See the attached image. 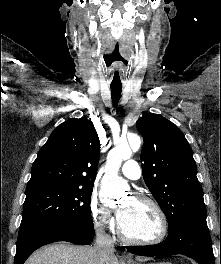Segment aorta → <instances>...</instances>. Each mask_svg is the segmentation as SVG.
Instances as JSON below:
<instances>
[{
	"instance_id": "obj_1",
	"label": "aorta",
	"mask_w": 221,
	"mask_h": 264,
	"mask_svg": "<svg viewBox=\"0 0 221 264\" xmlns=\"http://www.w3.org/2000/svg\"><path fill=\"white\" fill-rule=\"evenodd\" d=\"M141 139L133 134L126 139H121L115 148L109 153L106 162L105 174L101 181L102 197L111 200H117L128 188L125 180L118 176V171L123 160H127L132 155V150L137 151L140 148Z\"/></svg>"
}]
</instances>
